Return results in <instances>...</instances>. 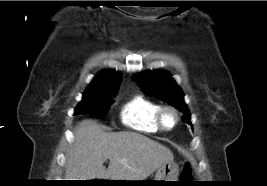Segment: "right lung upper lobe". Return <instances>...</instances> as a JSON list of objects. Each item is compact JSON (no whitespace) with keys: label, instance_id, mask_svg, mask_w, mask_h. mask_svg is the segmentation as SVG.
Segmentation results:
<instances>
[{"label":"right lung upper lobe","instance_id":"1","mask_svg":"<svg viewBox=\"0 0 267 186\" xmlns=\"http://www.w3.org/2000/svg\"><path fill=\"white\" fill-rule=\"evenodd\" d=\"M122 80V74L116 71H102L91 82L85 92L117 91Z\"/></svg>","mask_w":267,"mask_h":186}]
</instances>
